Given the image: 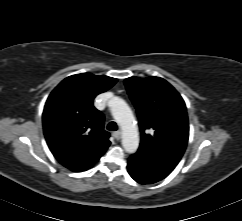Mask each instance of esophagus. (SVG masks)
<instances>
[{
  "label": "esophagus",
  "instance_id": "esophagus-1",
  "mask_svg": "<svg viewBox=\"0 0 242 221\" xmlns=\"http://www.w3.org/2000/svg\"><path fill=\"white\" fill-rule=\"evenodd\" d=\"M113 136L115 139L119 140L122 136V133L120 131H116L113 133Z\"/></svg>",
  "mask_w": 242,
  "mask_h": 221
}]
</instances>
